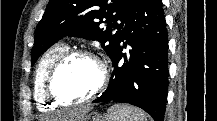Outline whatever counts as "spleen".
I'll return each mask as SVG.
<instances>
[{
    "mask_svg": "<svg viewBox=\"0 0 217 121\" xmlns=\"http://www.w3.org/2000/svg\"><path fill=\"white\" fill-rule=\"evenodd\" d=\"M107 121H146L143 112L127 104H114L108 111Z\"/></svg>",
    "mask_w": 217,
    "mask_h": 121,
    "instance_id": "spleen-1",
    "label": "spleen"
}]
</instances>
